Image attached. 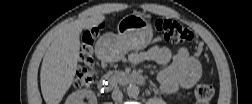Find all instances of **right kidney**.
Listing matches in <instances>:
<instances>
[{
  "label": "right kidney",
  "mask_w": 252,
  "mask_h": 104,
  "mask_svg": "<svg viewBox=\"0 0 252 104\" xmlns=\"http://www.w3.org/2000/svg\"><path fill=\"white\" fill-rule=\"evenodd\" d=\"M85 97L91 99L93 103L96 102V96L91 90H78L68 96V98L66 99V103L67 104H82L83 99Z\"/></svg>",
  "instance_id": "obj_1"
}]
</instances>
